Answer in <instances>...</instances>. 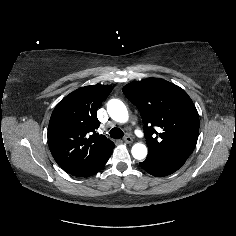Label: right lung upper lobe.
<instances>
[{"label": "right lung upper lobe", "mask_w": 236, "mask_h": 236, "mask_svg": "<svg viewBox=\"0 0 236 236\" xmlns=\"http://www.w3.org/2000/svg\"><path fill=\"white\" fill-rule=\"evenodd\" d=\"M111 91L108 85L79 88L63 98L52 112L49 149L58 165L73 176H87L113 151L114 143L96 133L100 125L97 109Z\"/></svg>", "instance_id": "1"}]
</instances>
